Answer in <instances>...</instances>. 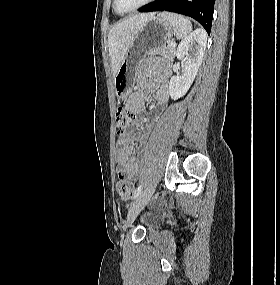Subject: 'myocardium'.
<instances>
[{"mask_svg": "<svg viewBox=\"0 0 280 285\" xmlns=\"http://www.w3.org/2000/svg\"><path fill=\"white\" fill-rule=\"evenodd\" d=\"M154 0H144L142 3H140L138 6L134 7L133 9H130V10H127V11H121L119 10L118 8V0H114L113 1V7H114V10L118 13V14H121V15H124V14H128V13H132V12H135L137 10H139L140 8L148 5L149 3L153 2Z\"/></svg>", "mask_w": 280, "mask_h": 285, "instance_id": "f54148a6", "label": "myocardium"}]
</instances>
